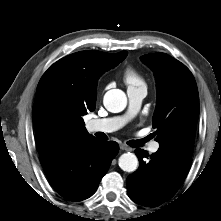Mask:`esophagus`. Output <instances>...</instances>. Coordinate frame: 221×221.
<instances>
[{
    "label": "esophagus",
    "instance_id": "esophagus-1",
    "mask_svg": "<svg viewBox=\"0 0 221 221\" xmlns=\"http://www.w3.org/2000/svg\"><path fill=\"white\" fill-rule=\"evenodd\" d=\"M120 149H122L124 151H132V148L125 145V144H120Z\"/></svg>",
    "mask_w": 221,
    "mask_h": 221
}]
</instances>
